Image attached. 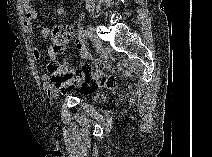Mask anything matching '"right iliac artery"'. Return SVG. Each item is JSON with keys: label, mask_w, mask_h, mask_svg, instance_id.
<instances>
[{"label": "right iliac artery", "mask_w": 212, "mask_h": 157, "mask_svg": "<svg viewBox=\"0 0 212 157\" xmlns=\"http://www.w3.org/2000/svg\"><path fill=\"white\" fill-rule=\"evenodd\" d=\"M78 38L79 39L90 38V34L87 30H80L79 33H78Z\"/></svg>", "instance_id": "1"}]
</instances>
